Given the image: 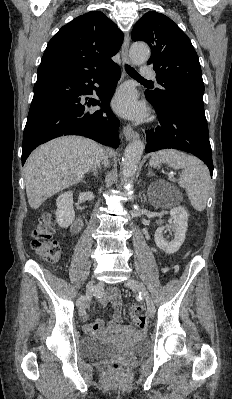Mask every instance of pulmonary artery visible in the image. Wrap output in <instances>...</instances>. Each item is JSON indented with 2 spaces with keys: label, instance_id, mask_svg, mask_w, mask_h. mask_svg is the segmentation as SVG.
I'll list each match as a JSON object with an SVG mask.
<instances>
[{
  "label": "pulmonary artery",
  "instance_id": "obj_1",
  "mask_svg": "<svg viewBox=\"0 0 232 399\" xmlns=\"http://www.w3.org/2000/svg\"><path fill=\"white\" fill-rule=\"evenodd\" d=\"M155 71L154 69H144L142 78L143 80H154L155 78Z\"/></svg>",
  "mask_w": 232,
  "mask_h": 399
}]
</instances>
